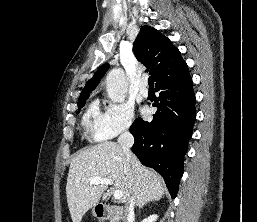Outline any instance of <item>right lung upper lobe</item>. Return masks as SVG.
<instances>
[{"mask_svg": "<svg viewBox=\"0 0 257 222\" xmlns=\"http://www.w3.org/2000/svg\"><path fill=\"white\" fill-rule=\"evenodd\" d=\"M133 50L136 58L154 76L156 84L189 73L180 51L172 45L167 37L150 26L141 28L134 42ZM108 68L109 64H104L95 72L83 88L78 104L89 97Z\"/></svg>", "mask_w": 257, "mask_h": 222, "instance_id": "right-lung-upper-lobe-1", "label": "right lung upper lobe"}]
</instances>
